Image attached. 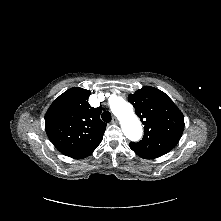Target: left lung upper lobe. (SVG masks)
I'll use <instances>...</instances> for the list:
<instances>
[{
    "label": "left lung upper lobe",
    "instance_id": "5c2ea615",
    "mask_svg": "<svg viewBox=\"0 0 221 221\" xmlns=\"http://www.w3.org/2000/svg\"><path fill=\"white\" fill-rule=\"evenodd\" d=\"M128 101L144 125V137L130 148L140 157L154 159L168 153L179 142L184 130V116L161 90L144 86Z\"/></svg>",
    "mask_w": 221,
    "mask_h": 221
}]
</instances>
